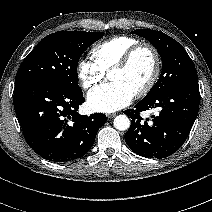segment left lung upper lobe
<instances>
[{
	"label": "left lung upper lobe",
	"mask_w": 212,
	"mask_h": 212,
	"mask_svg": "<svg viewBox=\"0 0 212 212\" xmlns=\"http://www.w3.org/2000/svg\"><path fill=\"white\" fill-rule=\"evenodd\" d=\"M132 34H137L150 41L162 59L161 75L145 98L164 92L179 83L197 79L193 61L176 40L160 31L149 29H137Z\"/></svg>",
	"instance_id": "1"
}]
</instances>
